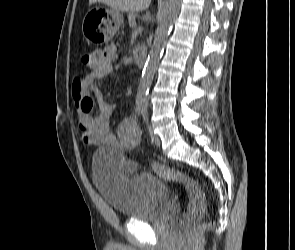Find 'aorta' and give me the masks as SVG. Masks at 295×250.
I'll use <instances>...</instances> for the list:
<instances>
[{
  "label": "aorta",
  "mask_w": 295,
  "mask_h": 250,
  "mask_svg": "<svg viewBox=\"0 0 295 250\" xmlns=\"http://www.w3.org/2000/svg\"><path fill=\"white\" fill-rule=\"evenodd\" d=\"M180 5L181 0H167L165 8L160 15L154 42L145 63L136 95V104L138 107L146 106L150 85L160 62L173 22L179 13Z\"/></svg>",
  "instance_id": "762f6f07"
}]
</instances>
